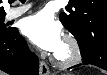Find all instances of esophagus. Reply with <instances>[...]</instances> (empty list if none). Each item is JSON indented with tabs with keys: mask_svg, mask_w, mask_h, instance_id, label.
I'll return each instance as SVG.
<instances>
[{
	"mask_svg": "<svg viewBox=\"0 0 107 75\" xmlns=\"http://www.w3.org/2000/svg\"><path fill=\"white\" fill-rule=\"evenodd\" d=\"M39 72H40V75H49L50 74L49 67L47 66V64L44 61H40Z\"/></svg>",
	"mask_w": 107,
	"mask_h": 75,
	"instance_id": "1",
	"label": "esophagus"
}]
</instances>
